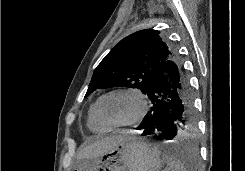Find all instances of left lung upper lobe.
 I'll return each mask as SVG.
<instances>
[{"instance_id":"1","label":"left lung upper lobe","mask_w":245,"mask_h":171,"mask_svg":"<svg viewBox=\"0 0 245 171\" xmlns=\"http://www.w3.org/2000/svg\"><path fill=\"white\" fill-rule=\"evenodd\" d=\"M174 53L160 31L145 29L122 39L96 67L85 97L97 89L138 88L146 94Z\"/></svg>"}]
</instances>
